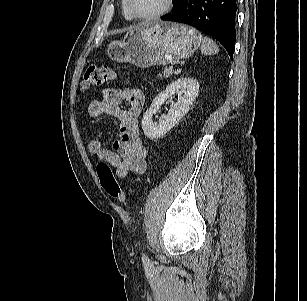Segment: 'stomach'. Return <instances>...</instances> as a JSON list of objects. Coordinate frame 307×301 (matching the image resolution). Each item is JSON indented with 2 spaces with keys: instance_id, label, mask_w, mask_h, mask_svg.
Returning a JSON list of instances; mask_svg holds the SVG:
<instances>
[{
  "instance_id": "stomach-1",
  "label": "stomach",
  "mask_w": 307,
  "mask_h": 301,
  "mask_svg": "<svg viewBox=\"0 0 307 301\" xmlns=\"http://www.w3.org/2000/svg\"><path fill=\"white\" fill-rule=\"evenodd\" d=\"M201 41L200 33L189 25L158 21L131 30L122 41H113L107 53L115 62L144 68L187 58Z\"/></svg>"
}]
</instances>
